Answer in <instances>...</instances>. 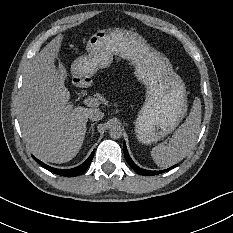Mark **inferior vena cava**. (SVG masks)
<instances>
[{
	"instance_id": "inferior-vena-cava-1",
	"label": "inferior vena cava",
	"mask_w": 233,
	"mask_h": 233,
	"mask_svg": "<svg viewBox=\"0 0 233 233\" xmlns=\"http://www.w3.org/2000/svg\"><path fill=\"white\" fill-rule=\"evenodd\" d=\"M104 117V113L100 109H94L88 116L92 121L101 120Z\"/></svg>"
}]
</instances>
